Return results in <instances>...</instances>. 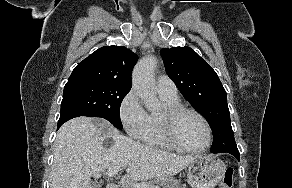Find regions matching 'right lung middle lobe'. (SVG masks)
<instances>
[{"label": "right lung middle lobe", "mask_w": 292, "mask_h": 188, "mask_svg": "<svg viewBox=\"0 0 292 188\" xmlns=\"http://www.w3.org/2000/svg\"><path fill=\"white\" fill-rule=\"evenodd\" d=\"M129 91L130 88L95 81H68L64 87L60 117L71 114L101 117L122 129L120 105Z\"/></svg>", "instance_id": "obj_1"}]
</instances>
